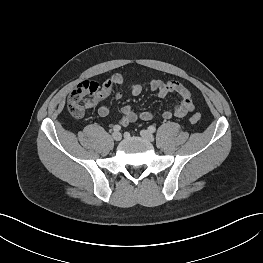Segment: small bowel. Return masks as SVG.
I'll return each instance as SVG.
<instances>
[{
  "instance_id": "c3829d8e",
  "label": "small bowel",
  "mask_w": 263,
  "mask_h": 263,
  "mask_svg": "<svg viewBox=\"0 0 263 263\" xmlns=\"http://www.w3.org/2000/svg\"><path fill=\"white\" fill-rule=\"evenodd\" d=\"M123 84L124 78L120 74H113L109 76L102 83L97 95L93 99L92 104L97 105L110 95H113L116 100L120 99L121 93L116 90V88L122 86ZM149 87L160 98H164L170 93H176L180 97V102L172 110L163 112L162 117L165 120H169L173 117H185L188 113L194 110L191 93L181 82L174 80L164 82L159 79H150ZM127 88L135 96L140 95L143 91V86L140 83L128 84ZM97 112L99 116L107 117L110 114V109L106 105H100ZM121 113L119 122L123 126L136 121L138 118L143 121H151L154 117L150 111H142L137 114L131 106H124Z\"/></svg>"
}]
</instances>
